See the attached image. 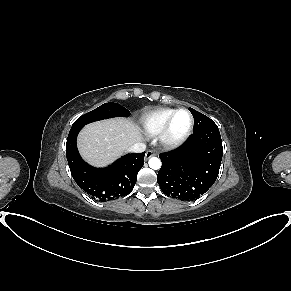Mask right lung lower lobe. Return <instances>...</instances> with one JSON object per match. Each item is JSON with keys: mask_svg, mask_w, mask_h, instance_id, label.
Wrapping results in <instances>:
<instances>
[{"mask_svg": "<svg viewBox=\"0 0 291 291\" xmlns=\"http://www.w3.org/2000/svg\"><path fill=\"white\" fill-rule=\"evenodd\" d=\"M81 128L70 129L66 143V156L71 174L87 194L101 202L125 196L133 189L145 153L127 154L106 168H95L80 157L76 138Z\"/></svg>", "mask_w": 291, "mask_h": 291, "instance_id": "1", "label": "right lung lower lobe"}]
</instances>
